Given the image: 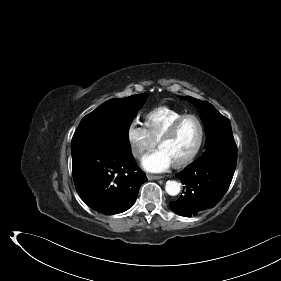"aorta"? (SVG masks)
<instances>
[{
	"label": "aorta",
	"mask_w": 281,
	"mask_h": 281,
	"mask_svg": "<svg viewBox=\"0 0 281 281\" xmlns=\"http://www.w3.org/2000/svg\"><path fill=\"white\" fill-rule=\"evenodd\" d=\"M165 190L169 195L176 196L180 192V184L176 181H167Z\"/></svg>",
	"instance_id": "obj_1"
}]
</instances>
